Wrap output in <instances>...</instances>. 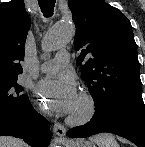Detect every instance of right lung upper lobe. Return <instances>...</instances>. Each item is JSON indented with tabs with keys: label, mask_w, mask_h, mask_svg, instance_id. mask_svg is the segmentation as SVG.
Returning <instances> with one entry per match:
<instances>
[{
	"label": "right lung upper lobe",
	"mask_w": 145,
	"mask_h": 147,
	"mask_svg": "<svg viewBox=\"0 0 145 147\" xmlns=\"http://www.w3.org/2000/svg\"><path fill=\"white\" fill-rule=\"evenodd\" d=\"M30 24L23 0L0 4V78L22 73L19 61L24 58Z\"/></svg>",
	"instance_id": "cb5924a9"
}]
</instances>
